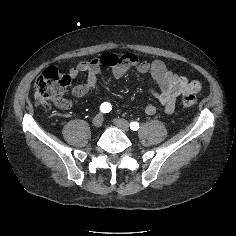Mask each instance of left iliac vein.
<instances>
[{"label":"left iliac vein","instance_id":"1","mask_svg":"<svg viewBox=\"0 0 236 236\" xmlns=\"http://www.w3.org/2000/svg\"><path fill=\"white\" fill-rule=\"evenodd\" d=\"M114 124L121 129L124 132H128L129 131V123L121 118H116L113 120Z\"/></svg>","mask_w":236,"mask_h":236}]
</instances>
